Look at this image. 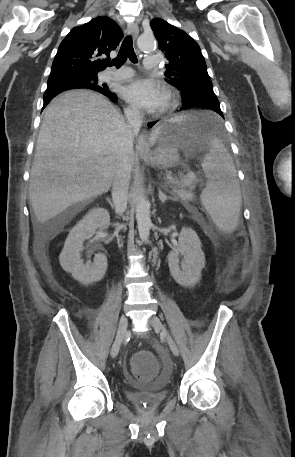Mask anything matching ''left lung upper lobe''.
Returning a JSON list of instances; mask_svg holds the SVG:
<instances>
[{"label":"left lung upper lobe","mask_w":295,"mask_h":457,"mask_svg":"<svg viewBox=\"0 0 295 457\" xmlns=\"http://www.w3.org/2000/svg\"><path fill=\"white\" fill-rule=\"evenodd\" d=\"M150 26L168 63L165 81L181 91L184 104L205 97L217 98L199 45L183 30L163 19Z\"/></svg>","instance_id":"5c2ea615"}]
</instances>
